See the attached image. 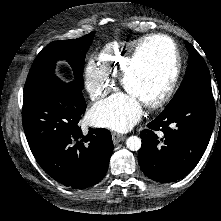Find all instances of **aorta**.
I'll list each match as a JSON object with an SVG mask.
<instances>
[{"label":"aorta","mask_w":221,"mask_h":221,"mask_svg":"<svg viewBox=\"0 0 221 221\" xmlns=\"http://www.w3.org/2000/svg\"><path fill=\"white\" fill-rule=\"evenodd\" d=\"M141 139L137 136H130L126 140V146L131 151H137L141 148Z\"/></svg>","instance_id":"obj_1"}]
</instances>
